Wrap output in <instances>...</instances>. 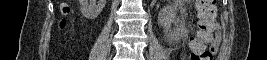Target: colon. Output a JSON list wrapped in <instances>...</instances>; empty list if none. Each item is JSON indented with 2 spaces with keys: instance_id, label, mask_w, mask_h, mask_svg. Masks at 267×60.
<instances>
[{
  "instance_id": "5ec220e1",
  "label": "colon",
  "mask_w": 267,
  "mask_h": 60,
  "mask_svg": "<svg viewBox=\"0 0 267 60\" xmlns=\"http://www.w3.org/2000/svg\"><path fill=\"white\" fill-rule=\"evenodd\" d=\"M216 0H198L196 1V14L198 18L199 29L196 35L190 41L193 60H209L214 54L213 49L208 46V32L215 23ZM60 10L66 14L69 8L62 4Z\"/></svg>"
}]
</instances>
